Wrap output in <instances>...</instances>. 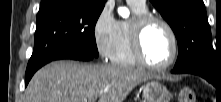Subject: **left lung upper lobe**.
Wrapping results in <instances>:
<instances>
[{
    "mask_svg": "<svg viewBox=\"0 0 221 102\" xmlns=\"http://www.w3.org/2000/svg\"><path fill=\"white\" fill-rule=\"evenodd\" d=\"M173 29L178 42L174 68L198 66L217 77L221 54L214 51L203 0H151Z\"/></svg>",
    "mask_w": 221,
    "mask_h": 102,
    "instance_id": "obj_1",
    "label": "left lung upper lobe"
}]
</instances>
